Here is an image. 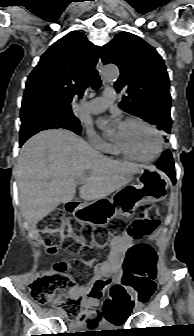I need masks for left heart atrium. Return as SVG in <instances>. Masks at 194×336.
I'll return each mask as SVG.
<instances>
[{
	"label": "left heart atrium",
	"mask_w": 194,
	"mask_h": 336,
	"mask_svg": "<svg viewBox=\"0 0 194 336\" xmlns=\"http://www.w3.org/2000/svg\"><path fill=\"white\" fill-rule=\"evenodd\" d=\"M111 123L117 126L118 131L122 128V125L118 122H111L110 120H106V119H102L99 121V125L103 129H106Z\"/></svg>",
	"instance_id": "left-heart-atrium-1"
}]
</instances>
